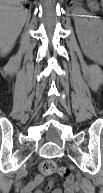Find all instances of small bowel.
I'll return each mask as SVG.
<instances>
[{
  "mask_svg": "<svg viewBox=\"0 0 103 193\" xmlns=\"http://www.w3.org/2000/svg\"><path fill=\"white\" fill-rule=\"evenodd\" d=\"M76 185L77 181L68 178L63 182L62 188H55L50 193H75ZM20 193H45L42 177H35L30 183L22 187Z\"/></svg>",
  "mask_w": 103,
  "mask_h": 193,
  "instance_id": "1",
  "label": "small bowel"
}]
</instances>
